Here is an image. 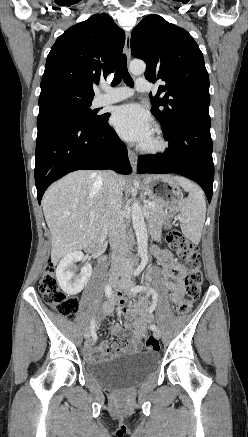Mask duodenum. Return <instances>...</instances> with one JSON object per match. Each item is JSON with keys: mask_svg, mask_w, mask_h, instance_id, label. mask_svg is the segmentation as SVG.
Listing matches in <instances>:
<instances>
[{"mask_svg": "<svg viewBox=\"0 0 248 437\" xmlns=\"http://www.w3.org/2000/svg\"><path fill=\"white\" fill-rule=\"evenodd\" d=\"M104 239H105V233H102V234L99 236V238H98V245H97V247H96V250H97V251H100V249H101V244H102V242H103Z\"/></svg>", "mask_w": 248, "mask_h": 437, "instance_id": "duodenum-1", "label": "duodenum"}]
</instances>
